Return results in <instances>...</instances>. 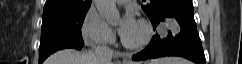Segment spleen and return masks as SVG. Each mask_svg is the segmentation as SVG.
I'll return each mask as SVG.
<instances>
[{"label":"spleen","instance_id":"obj_1","mask_svg":"<svg viewBox=\"0 0 242 64\" xmlns=\"http://www.w3.org/2000/svg\"><path fill=\"white\" fill-rule=\"evenodd\" d=\"M152 64H190V62L180 57H165L153 60Z\"/></svg>","mask_w":242,"mask_h":64}]
</instances>
